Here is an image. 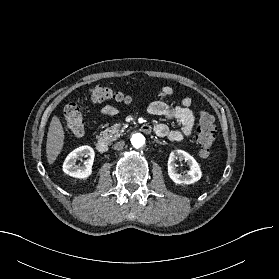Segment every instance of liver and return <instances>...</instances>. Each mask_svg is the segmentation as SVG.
<instances>
[{
    "mask_svg": "<svg viewBox=\"0 0 279 279\" xmlns=\"http://www.w3.org/2000/svg\"><path fill=\"white\" fill-rule=\"evenodd\" d=\"M64 145V130L57 116H53L47 134L46 154L51 165L55 162Z\"/></svg>",
    "mask_w": 279,
    "mask_h": 279,
    "instance_id": "6515ba94",
    "label": "liver"
}]
</instances>
